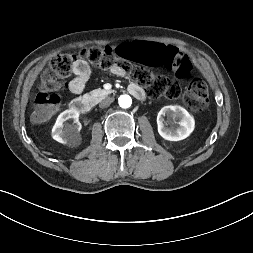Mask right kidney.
I'll use <instances>...</instances> for the list:
<instances>
[{
    "label": "right kidney",
    "mask_w": 253,
    "mask_h": 253,
    "mask_svg": "<svg viewBox=\"0 0 253 253\" xmlns=\"http://www.w3.org/2000/svg\"><path fill=\"white\" fill-rule=\"evenodd\" d=\"M78 118L79 112L74 109L63 111L52 128L53 139L62 144L77 145L80 141L81 130ZM69 120H74L73 124H68Z\"/></svg>",
    "instance_id": "1"
}]
</instances>
